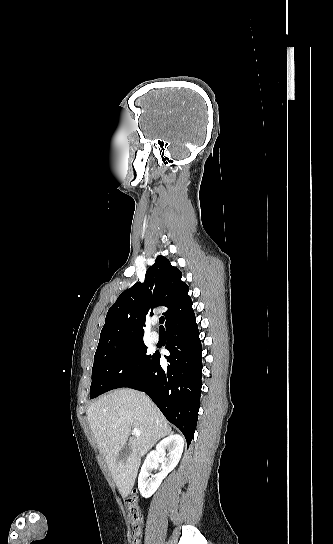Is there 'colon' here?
I'll return each mask as SVG.
<instances>
[{
  "label": "colon",
  "instance_id": "obj_1",
  "mask_svg": "<svg viewBox=\"0 0 333 544\" xmlns=\"http://www.w3.org/2000/svg\"><path fill=\"white\" fill-rule=\"evenodd\" d=\"M126 506L133 529V544H139L142 535V514L135 491L126 498Z\"/></svg>",
  "mask_w": 333,
  "mask_h": 544
}]
</instances>
